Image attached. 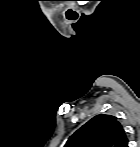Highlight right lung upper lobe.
Listing matches in <instances>:
<instances>
[{"instance_id": "right-lung-upper-lobe-1", "label": "right lung upper lobe", "mask_w": 140, "mask_h": 147, "mask_svg": "<svg viewBox=\"0 0 140 147\" xmlns=\"http://www.w3.org/2000/svg\"><path fill=\"white\" fill-rule=\"evenodd\" d=\"M64 147H128V139L116 117L100 114L78 129Z\"/></svg>"}]
</instances>
